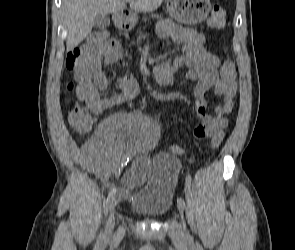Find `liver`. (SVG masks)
<instances>
[{"instance_id":"1","label":"liver","mask_w":295,"mask_h":250,"mask_svg":"<svg viewBox=\"0 0 295 250\" xmlns=\"http://www.w3.org/2000/svg\"><path fill=\"white\" fill-rule=\"evenodd\" d=\"M163 1L131 0L130 9L153 12ZM127 2V0H63L61 10L67 31V51L73 50L91 33L97 15L122 12Z\"/></svg>"}]
</instances>
